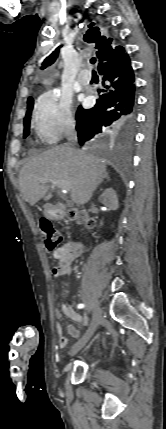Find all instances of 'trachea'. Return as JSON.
<instances>
[{
    "label": "trachea",
    "mask_w": 166,
    "mask_h": 429,
    "mask_svg": "<svg viewBox=\"0 0 166 429\" xmlns=\"http://www.w3.org/2000/svg\"><path fill=\"white\" fill-rule=\"evenodd\" d=\"M90 62H91V64H95L96 63V58H91V60H90Z\"/></svg>",
    "instance_id": "3493384b"
}]
</instances>
